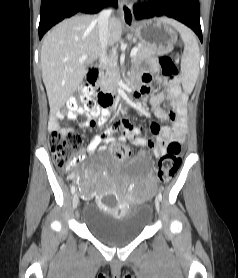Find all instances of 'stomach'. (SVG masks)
<instances>
[{"label": "stomach", "mask_w": 238, "mask_h": 278, "mask_svg": "<svg viewBox=\"0 0 238 278\" xmlns=\"http://www.w3.org/2000/svg\"><path fill=\"white\" fill-rule=\"evenodd\" d=\"M131 31L142 44L151 45L158 50H170L177 42V33L161 18L146 20L135 24Z\"/></svg>", "instance_id": "obj_1"}]
</instances>
